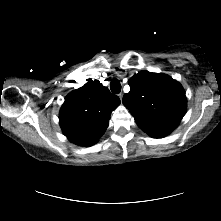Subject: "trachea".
<instances>
[{"label": "trachea", "mask_w": 221, "mask_h": 221, "mask_svg": "<svg viewBox=\"0 0 221 221\" xmlns=\"http://www.w3.org/2000/svg\"><path fill=\"white\" fill-rule=\"evenodd\" d=\"M110 89L114 94H118L121 91V84L118 79H113L110 83Z\"/></svg>", "instance_id": "3493384b"}]
</instances>
